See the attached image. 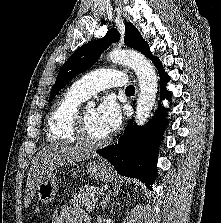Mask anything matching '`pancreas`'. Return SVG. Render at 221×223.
I'll list each match as a JSON object with an SVG mask.
<instances>
[{
  "label": "pancreas",
  "instance_id": "cf45deb5",
  "mask_svg": "<svg viewBox=\"0 0 221 223\" xmlns=\"http://www.w3.org/2000/svg\"><path fill=\"white\" fill-rule=\"evenodd\" d=\"M102 189L96 186H84L72 195L70 204L73 206H84L88 212L95 208L96 194H101Z\"/></svg>",
  "mask_w": 221,
  "mask_h": 223
}]
</instances>
